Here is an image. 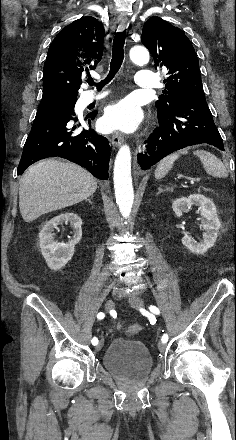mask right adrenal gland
Returning a JSON list of instances; mask_svg holds the SVG:
<instances>
[{
    "label": "right adrenal gland",
    "mask_w": 236,
    "mask_h": 440,
    "mask_svg": "<svg viewBox=\"0 0 236 440\" xmlns=\"http://www.w3.org/2000/svg\"><path fill=\"white\" fill-rule=\"evenodd\" d=\"M91 199H92V197H91V198H89V199H87L86 201H88L89 203H91V204H92V202H91Z\"/></svg>",
    "instance_id": "2a0ac1e0"
}]
</instances>
